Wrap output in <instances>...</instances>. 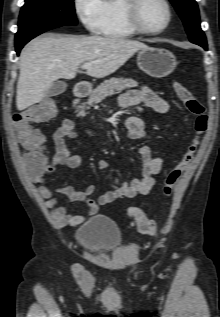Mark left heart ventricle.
<instances>
[{
  "label": "left heart ventricle",
  "mask_w": 220,
  "mask_h": 317,
  "mask_svg": "<svg viewBox=\"0 0 220 317\" xmlns=\"http://www.w3.org/2000/svg\"><path fill=\"white\" fill-rule=\"evenodd\" d=\"M140 17L148 29H159L167 20V10L160 0H145L141 7Z\"/></svg>",
  "instance_id": "b2bd125f"
}]
</instances>
